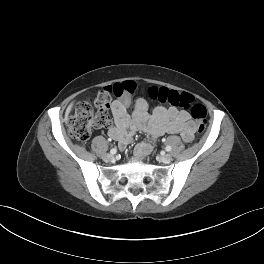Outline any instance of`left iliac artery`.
I'll return each instance as SVG.
<instances>
[{
	"label": "left iliac artery",
	"mask_w": 264,
	"mask_h": 264,
	"mask_svg": "<svg viewBox=\"0 0 264 264\" xmlns=\"http://www.w3.org/2000/svg\"><path fill=\"white\" fill-rule=\"evenodd\" d=\"M165 149H166V151H168V152H169V151H171V146H166V148H165Z\"/></svg>",
	"instance_id": "left-iliac-artery-1"
}]
</instances>
